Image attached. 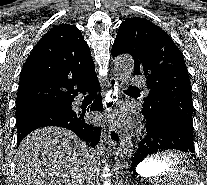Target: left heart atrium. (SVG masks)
Listing matches in <instances>:
<instances>
[{"mask_svg": "<svg viewBox=\"0 0 207 185\" xmlns=\"http://www.w3.org/2000/svg\"><path fill=\"white\" fill-rule=\"evenodd\" d=\"M110 118L113 123L119 125V126H129L130 121L126 116V109L124 107L119 108L116 111H113L110 114Z\"/></svg>", "mask_w": 207, "mask_h": 185, "instance_id": "obj_1", "label": "left heart atrium"}]
</instances>
